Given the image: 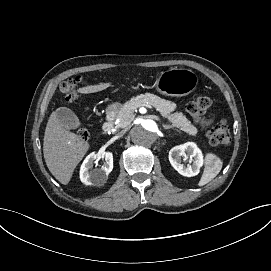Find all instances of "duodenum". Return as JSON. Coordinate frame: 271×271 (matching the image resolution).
<instances>
[{"label": "duodenum", "instance_id": "duodenum-1", "mask_svg": "<svg viewBox=\"0 0 271 271\" xmlns=\"http://www.w3.org/2000/svg\"><path fill=\"white\" fill-rule=\"evenodd\" d=\"M114 120H115L114 112H109L102 126L103 134H108L112 130L113 125H114Z\"/></svg>", "mask_w": 271, "mask_h": 271}]
</instances>
